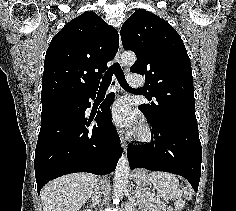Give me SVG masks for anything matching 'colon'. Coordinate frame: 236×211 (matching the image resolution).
Wrapping results in <instances>:
<instances>
[{"label": "colon", "instance_id": "5ec220e1", "mask_svg": "<svg viewBox=\"0 0 236 211\" xmlns=\"http://www.w3.org/2000/svg\"><path fill=\"white\" fill-rule=\"evenodd\" d=\"M186 197L189 198V194L188 193H186Z\"/></svg>", "mask_w": 236, "mask_h": 211}]
</instances>
